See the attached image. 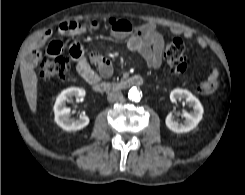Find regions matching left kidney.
Here are the masks:
<instances>
[{
    "instance_id": "left-kidney-1",
    "label": "left kidney",
    "mask_w": 245,
    "mask_h": 195,
    "mask_svg": "<svg viewBox=\"0 0 245 195\" xmlns=\"http://www.w3.org/2000/svg\"><path fill=\"white\" fill-rule=\"evenodd\" d=\"M185 100V102L192 107L190 113H184L185 118L184 124L179 123L172 113H169L166 117V126L175 133H185L193 130L203 117V106L200 101L188 90L174 89L170 93V100L177 102V100Z\"/></svg>"
}]
</instances>
